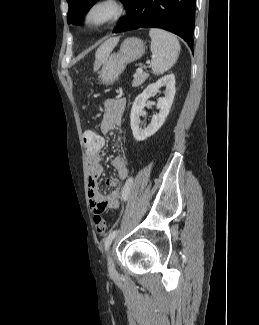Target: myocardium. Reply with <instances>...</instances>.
I'll return each mask as SVG.
<instances>
[{
    "mask_svg": "<svg viewBox=\"0 0 259 325\" xmlns=\"http://www.w3.org/2000/svg\"><path fill=\"white\" fill-rule=\"evenodd\" d=\"M102 6H109L112 9V13L101 20H94V11ZM125 12V4L122 0H93L84 10L83 22L84 25L92 30H98L113 24L118 21Z\"/></svg>",
    "mask_w": 259,
    "mask_h": 325,
    "instance_id": "obj_1",
    "label": "myocardium"
}]
</instances>
